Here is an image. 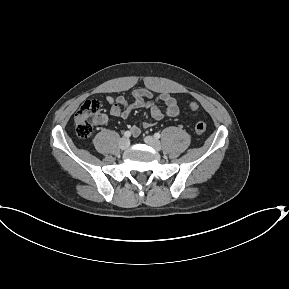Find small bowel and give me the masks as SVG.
<instances>
[{"label": "small bowel", "mask_w": 289, "mask_h": 289, "mask_svg": "<svg viewBox=\"0 0 289 289\" xmlns=\"http://www.w3.org/2000/svg\"><path fill=\"white\" fill-rule=\"evenodd\" d=\"M106 101L110 105V114L118 118H127L136 109L150 108L151 117L154 121H160L165 116L174 117L178 114V104L176 99L168 93H162L158 96L147 89L139 88L133 91L132 100L126 99L124 96L117 97L107 96ZM164 105V109L160 107ZM99 123L107 121L106 116L99 118ZM153 125L152 122H144L142 127L149 128ZM132 135L138 136L141 133V128L137 125L131 127Z\"/></svg>", "instance_id": "obj_1"}]
</instances>
